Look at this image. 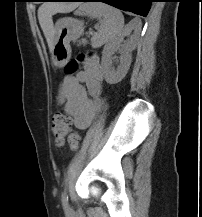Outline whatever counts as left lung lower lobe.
Masks as SVG:
<instances>
[{
	"label": "left lung lower lobe",
	"mask_w": 202,
	"mask_h": 217,
	"mask_svg": "<svg viewBox=\"0 0 202 217\" xmlns=\"http://www.w3.org/2000/svg\"><path fill=\"white\" fill-rule=\"evenodd\" d=\"M42 1H83V2H104L124 11L146 16L154 0H42Z\"/></svg>",
	"instance_id": "obj_1"
}]
</instances>
